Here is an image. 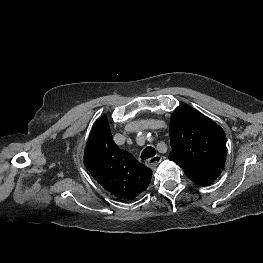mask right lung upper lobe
Listing matches in <instances>:
<instances>
[{
	"instance_id": "right-lung-upper-lobe-1",
	"label": "right lung upper lobe",
	"mask_w": 263,
	"mask_h": 263,
	"mask_svg": "<svg viewBox=\"0 0 263 263\" xmlns=\"http://www.w3.org/2000/svg\"><path fill=\"white\" fill-rule=\"evenodd\" d=\"M92 177L114 197L132 200L147 189L152 171L114 143L106 116L93 125L84 154Z\"/></svg>"
}]
</instances>
